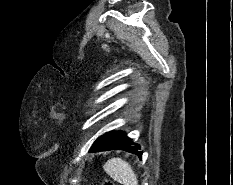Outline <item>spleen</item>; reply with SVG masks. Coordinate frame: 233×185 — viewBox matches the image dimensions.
<instances>
[{"label":"spleen","mask_w":233,"mask_h":185,"mask_svg":"<svg viewBox=\"0 0 233 185\" xmlns=\"http://www.w3.org/2000/svg\"><path fill=\"white\" fill-rule=\"evenodd\" d=\"M103 168L110 177L123 185H138L137 176L131 165L121 158H111Z\"/></svg>","instance_id":"1"}]
</instances>
